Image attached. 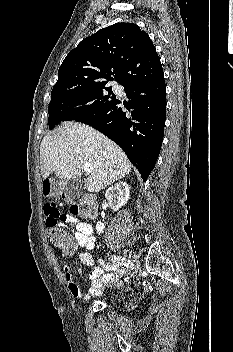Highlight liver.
<instances>
[{"label": "liver", "mask_w": 233, "mask_h": 352, "mask_svg": "<svg viewBox=\"0 0 233 352\" xmlns=\"http://www.w3.org/2000/svg\"><path fill=\"white\" fill-rule=\"evenodd\" d=\"M85 163L93 166L85 180L89 192H98L131 171L123 150L88 125L65 122L55 134L43 138L40 170L44 179L52 173L65 181L78 178Z\"/></svg>", "instance_id": "liver-1"}]
</instances>
